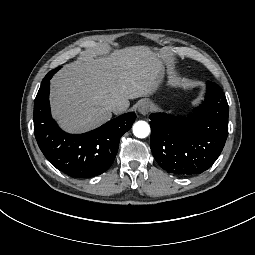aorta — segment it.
I'll return each instance as SVG.
<instances>
[{"instance_id":"762f6f07","label":"aorta","mask_w":255,"mask_h":255,"mask_svg":"<svg viewBox=\"0 0 255 255\" xmlns=\"http://www.w3.org/2000/svg\"><path fill=\"white\" fill-rule=\"evenodd\" d=\"M133 133L138 138H145L150 133V126L145 121H138L133 125Z\"/></svg>"}]
</instances>
